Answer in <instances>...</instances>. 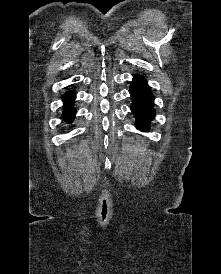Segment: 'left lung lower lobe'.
<instances>
[{"label":"left lung lower lobe","instance_id":"obj_1","mask_svg":"<svg viewBox=\"0 0 221 274\" xmlns=\"http://www.w3.org/2000/svg\"><path fill=\"white\" fill-rule=\"evenodd\" d=\"M130 94L132 98L131 110L136 118V127L141 131H148L150 128L148 123L155 115L154 97L144 77L134 76Z\"/></svg>","mask_w":221,"mask_h":274}]
</instances>
